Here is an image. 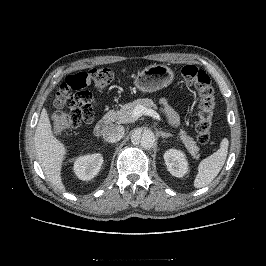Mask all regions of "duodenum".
Wrapping results in <instances>:
<instances>
[{
	"label": "duodenum",
	"mask_w": 266,
	"mask_h": 266,
	"mask_svg": "<svg viewBox=\"0 0 266 266\" xmlns=\"http://www.w3.org/2000/svg\"><path fill=\"white\" fill-rule=\"evenodd\" d=\"M110 122H111V121H110V119H108V118L99 121V122L95 125V127H94V134H95L96 136H103V135L105 134V132H106V130H107V127H108V125H109Z\"/></svg>",
	"instance_id": "obj_1"
}]
</instances>
